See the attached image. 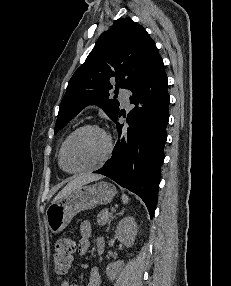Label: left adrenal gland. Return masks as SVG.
<instances>
[{"label":"left adrenal gland","mask_w":231,"mask_h":286,"mask_svg":"<svg viewBox=\"0 0 231 286\" xmlns=\"http://www.w3.org/2000/svg\"><path fill=\"white\" fill-rule=\"evenodd\" d=\"M124 211H125V209H122V210H121L119 213H117L115 216L123 214V213H124ZM115 216H113V217H112V219H113ZM110 222H111V221H110ZM110 222H109V224H108L107 231L109 230Z\"/></svg>","instance_id":"obj_1"}]
</instances>
